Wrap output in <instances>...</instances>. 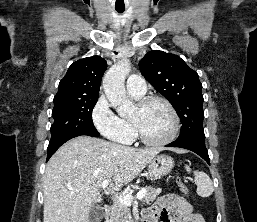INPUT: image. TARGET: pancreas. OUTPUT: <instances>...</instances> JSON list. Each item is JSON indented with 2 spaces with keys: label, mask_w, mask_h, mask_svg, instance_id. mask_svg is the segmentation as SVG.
<instances>
[{
  "label": "pancreas",
  "mask_w": 257,
  "mask_h": 222,
  "mask_svg": "<svg viewBox=\"0 0 257 222\" xmlns=\"http://www.w3.org/2000/svg\"><path fill=\"white\" fill-rule=\"evenodd\" d=\"M146 194L144 196L145 202L150 204L161 193V189H155L153 187H145ZM107 222H134L129 205H124L119 201H114L111 207V213Z\"/></svg>",
  "instance_id": "1"
}]
</instances>
